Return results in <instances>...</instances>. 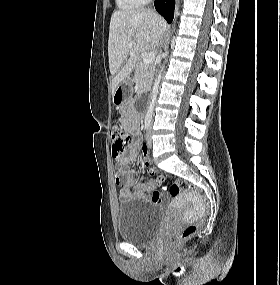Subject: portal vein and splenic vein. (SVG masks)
<instances>
[{
  "label": "portal vein and splenic vein",
  "instance_id": "portal-vein-and-splenic-vein-1",
  "mask_svg": "<svg viewBox=\"0 0 280 285\" xmlns=\"http://www.w3.org/2000/svg\"><path fill=\"white\" fill-rule=\"evenodd\" d=\"M133 42H130L128 44V48H132ZM155 54L154 52H149L147 53V55L145 56V58L143 59V61L145 63H151L154 60Z\"/></svg>",
  "mask_w": 280,
  "mask_h": 285
}]
</instances>
